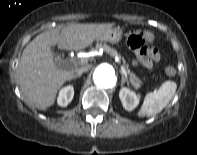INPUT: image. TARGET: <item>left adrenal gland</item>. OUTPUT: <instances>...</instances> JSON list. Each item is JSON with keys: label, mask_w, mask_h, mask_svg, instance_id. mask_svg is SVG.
Wrapping results in <instances>:
<instances>
[{"label": "left adrenal gland", "mask_w": 197, "mask_h": 155, "mask_svg": "<svg viewBox=\"0 0 197 155\" xmlns=\"http://www.w3.org/2000/svg\"><path fill=\"white\" fill-rule=\"evenodd\" d=\"M125 82H126V79H125L123 73L121 72V85H123ZM127 84H128V82H127Z\"/></svg>", "instance_id": "1"}]
</instances>
